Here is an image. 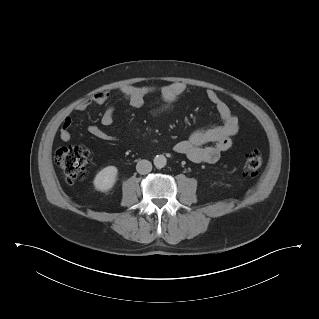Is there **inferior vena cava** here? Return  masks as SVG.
Returning <instances> with one entry per match:
<instances>
[{
  "label": "inferior vena cava",
  "instance_id": "1",
  "mask_svg": "<svg viewBox=\"0 0 319 319\" xmlns=\"http://www.w3.org/2000/svg\"><path fill=\"white\" fill-rule=\"evenodd\" d=\"M136 170L139 174H148L152 170V164L148 160H140L136 165Z\"/></svg>",
  "mask_w": 319,
  "mask_h": 319
}]
</instances>
